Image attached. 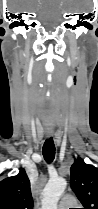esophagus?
<instances>
[{
	"label": "esophagus",
	"mask_w": 98,
	"mask_h": 209,
	"mask_svg": "<svg viewBox=\"0 0 98 209\" xmlns=\"http://www.w3.org/2000/svg\"><path fill=\"white\" fill-rule=\"evenodd\" d=\"M46 136L49 138L53 136V130L52 128L46 127Z\"/></svg>",
	"instance_id": "34e87169"
}]
</instances>
